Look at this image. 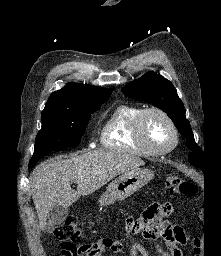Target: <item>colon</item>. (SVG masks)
<instances>
[{
	"label": "colon",
	"mask_w": 221,
	"mask_h": 256,
	"mask_svg": "<svg viewBox=\"0 0 221 256\" xmlns=\"http://www.w3.org/2000/svg\"><path fill=\"white\" fill-rule=\"evenodd\" d=\"M167 188L172 193L193 196L196 193V186L189 180L178 175H170L166 181ZM54 236L61 241L62 254H77L79 246L77 242L81 236L80 220L76 216H69L54 230ZM196 250H199V242L196 241Z\"/></svg>",
	"instance_id": "colon-1"
}]
</instances>
